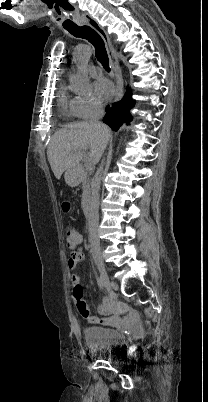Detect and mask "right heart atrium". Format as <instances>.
Returning <instances> with one entry per match:
<instances>
[{"mask_svg":"<svg viewBox=\"0 0 208 402\" xmlns=\"http://www.w3.org/2000/svg\"><path fill=\"white\" fill-rule=\"evenodd\" d=\"M75 103L79 118L82 120L92 119L100 114L103 105L101 100L92 91L78 93Z\"/></svg>","mask_w":208,"mask_h":402,"instance_id":"1","label":"right heart atrium"}]
</instances>
